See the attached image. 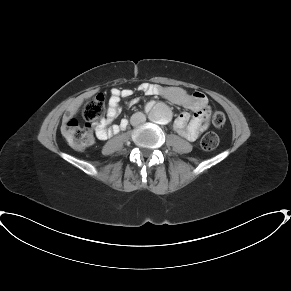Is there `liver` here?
I'll return each instance as SVG.
<instances>
[{
    "mask_svg": "<svg viewBox=\"0 0 291 291\" xmlns=\"http://www.w3.org/2000/svg\"><path fill=\"white\" fill-rule=\"evenodd\" d=\"M95 93H96V90H92L75 98L67 108V111L69 112V116H66V115L63 116V125H65V123L78 112L80 106L83 104L84 99L90 98Z\"/></svg>",
    "mask_w": 291,
    "mask_h": 291,
    "instance_id": "6515ba94",
    "label": "liver"
}]
</instances>
